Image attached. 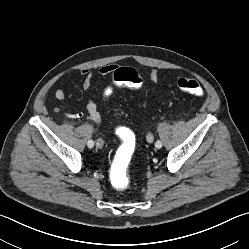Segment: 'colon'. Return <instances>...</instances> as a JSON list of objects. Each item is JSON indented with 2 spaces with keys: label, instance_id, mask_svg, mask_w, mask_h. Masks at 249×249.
Listing matches in <instances>:
<instances>
[{
  "label": "colon",
  "instance_id": "5ec220e1",
  "mask_svg": "<svg viewBox=\"0 0 249 249\" xmlns=\"http://www.w3.org/2000/svg\"><path fill=\"white\" fill-rule=\"evenodd\" d=\"M113 82L117 86H127L131 89H140L143 84L142 78L132 68L116 69L113 73ZM177 86L181 91L195 96H202L204 93L202 85L194 79L180 78ZM116 132L122 143L113 164L111 183L113 188L122 190L127 186L128 169L135 152L136 139L127 126H119Z\"/></svg>",
  "mask_w": 249,
  "mask_h": 249
}]
</instances>
